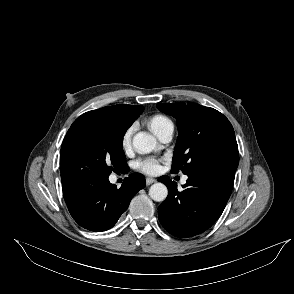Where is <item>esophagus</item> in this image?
I'll return each instance as SVG.
<instances>
[{
  "label": "esophagus",
  "instance_id": "1",
  "mask_svg": "<svg viewBox=\"0 0 294 294\" xmlns=\"http://www.w3.org/2000/svg\"><path fill=\"white\" fill-rule=\"evenodd\" d=\"M156 182V179L154 178H150V177H147L146 178V184L147 185H151L152 183Z\"/></svg>",
  "mask_w": 294,
  "mask_h": 294
}]
</instances>
